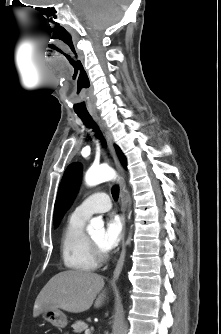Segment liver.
I'll use <instances>...</instances> for the list:
<instances>
[{
  "mask_svg": "<svg viewBox=\"0 0 221 334\" xmlns=\"http://www.w3.org/2000/svg\"><path fill=\"white\" fill-rule=\"evenodd\" d=\"M103 287L104 279L96 273L74 270L60 272L40 291L34 304L33 316L37 317L48 309L80 313L88 310L93 303L95 308H99L106 299Z\"/></svg>",
  "mask_w": 221,
  "mask_h": 334,
  "instance_id": "liver-1",
  "label": "liver"
}]
</instances>
